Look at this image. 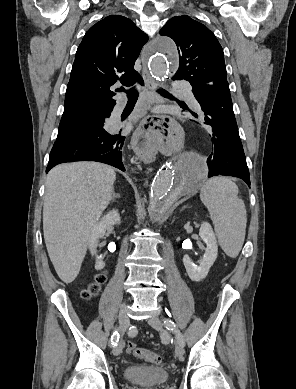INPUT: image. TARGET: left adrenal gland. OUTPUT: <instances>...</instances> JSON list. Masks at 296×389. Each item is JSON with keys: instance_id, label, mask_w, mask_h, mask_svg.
<instances>
[{"instance_id": "1", "label": "left adrenal gland", "mask_w": 296, "mask_h": 389, "mask_svg": "<svg viewBox=\"0 0 296 389\" xmlns=\"http://www.w3.org/2000/svg\"><path fill=\"white\" fill-rule=\"evenodd\" d=\"M184 208H186V206H184L181 210H183Z\"/></svg>"}]
</instances>
